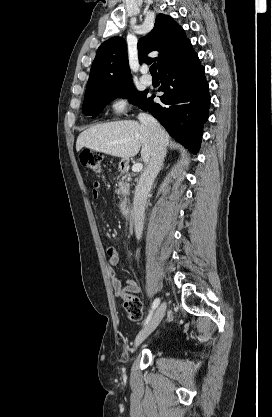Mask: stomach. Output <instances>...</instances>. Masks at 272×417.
<instances>
[{
  "instance_id": "obj_1",
  "label": "stomach",
  "mask_w": 272,
  "mask_h": 417,
  "mask_svg": "<svg viewBox=\"0 0 272 417\" xmlns=\"http://www.w3.org/2000/svg\"><path fill=\"white\" fill-rule=\"evenodd\" d=\"M126 163H127V160L122 159L119 165H120V167H122V165H126Z\"/></svg>"
}]
</instances>
